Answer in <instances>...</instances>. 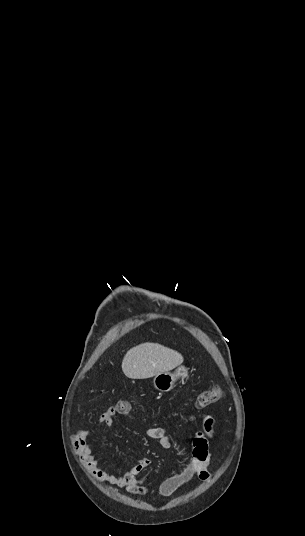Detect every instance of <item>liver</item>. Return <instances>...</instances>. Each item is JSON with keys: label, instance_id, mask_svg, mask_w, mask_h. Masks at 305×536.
Masks as SVG:
<instances>
[{"label": "liver", "instance_id": "liver-1", "mask_svg": "<svg viewBox=\"0 0 305 536\" xmlns=\"http://www.w3.org/2000/svg\"><path fill=\"white\" fill-rule=\"evenodd\" d=\"M183 356L160 344H140L128 350L122 362V372L131 380L153 378L161 372H169L180 366Z\"/></svg>", "mask_w": 305, "mask_h": 536}]
</instances>
